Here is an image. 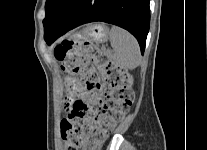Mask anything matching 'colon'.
Returning a JSON list of instances; mask_svg holds the SVG:
<instances>
[{
  "label": "colon",
  "instance_id": "colon-1",
  "mask_svg": "<svg viewBox=\"0 0 207 150\" xmlns=\"http://www.w3.org/2000/svg\"><path fill=\"white\" fill-rule=\"evenodd\" d=\"M53 54L64 72L76 76L85 87L88 101L65 99L71 111L62 120L61 134L65 150L87 145L99 150L112 129L123 120L134 100L128 73L114 64L108 54L86 39L57 45ZM93 63L104 75V83ZM65 87H74V79L65 77Z\"/></svg>",
  "mask_w": 207,
  "mask_h": 150
}]
</instances>
